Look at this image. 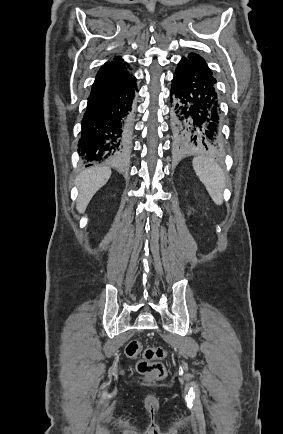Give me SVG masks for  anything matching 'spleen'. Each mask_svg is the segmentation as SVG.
Masks as SVG:
<instances>
[{
    "instance_id": "3e777b00",
    "label": "spleen",
    "mask_w": 283,
    "mask_h": 434,
    "mask_svg": "<svg viewBox=\"0 0 283 434\" xmlns=\"http://www.w3.org/2000/svg\"><path fill=\"white\" fill-rule=\"evenodd\" d=\"M194 171L205 185L212 200L221 205L222 190L225 187V176L221 167L208 157H195L192 161Z\"/></svg>"
}]
</instances>
